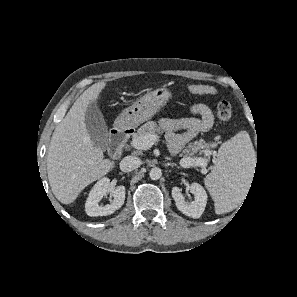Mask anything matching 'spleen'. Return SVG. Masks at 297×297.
Instances as JSON below:
<instances>
[{"mask_svg":"<svg viewBox=\"0 0 297 297\" xmlns=\"http://www.w3.org/2000/svg\"><path fill=\"white\" fill-rule=\"evenodd\" d=\"M256 154L247 132L241 131L219 148L217 162L205 178V185L215 202V212L231 210L244 195L251 181Z\"/></svg>","mask_w":297,"mask_h":297,"instance_id":"obj_1","label":"spleen"}]
</instances>
